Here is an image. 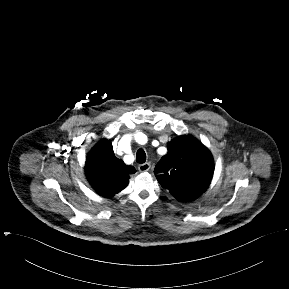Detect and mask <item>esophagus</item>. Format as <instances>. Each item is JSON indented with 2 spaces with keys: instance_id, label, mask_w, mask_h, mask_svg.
I'll use <instances>...</instances> for the list:
<instances>
[{
  "instance_id": "1",
  "label": "esophagus",
  "mask_w": 289,
  "mask_h": 289,
  "mask_svg": "<svg viewBox=\"0 0 289 289\" xmlns=\"http://www.w3.org/2000/svg\"><path fill=\"white\" fill-rule=\"evenodd\" d=\"M151 168V165L150 163H142L138 166V169L140 172H146V171H149Z\"/></svg>"
}]
</instances>
